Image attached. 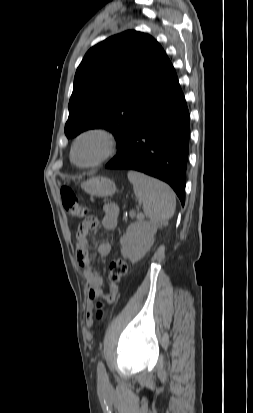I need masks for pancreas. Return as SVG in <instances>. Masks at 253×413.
<instances>
[{
    "mask_svg": "<svg viewBox=\"0 0 253 413\" xmlns=\"http://www.w3.org/2000/svg\"><path fill=\"white\" fill-rule=\"evenodd\" d=\"M132 217H134V215L131 214ZM125 220H127V217H124Z\"/></svg>",
    "mask_w": 253,
    "mask_h": 413,
    "instance_id": "cf45deb5",
    "label": "pancreas"
}]
</instances>
